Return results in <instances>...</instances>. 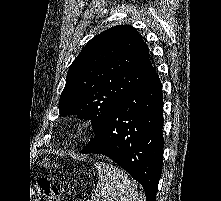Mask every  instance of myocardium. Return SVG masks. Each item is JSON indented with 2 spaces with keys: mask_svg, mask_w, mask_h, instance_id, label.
I'll list each match as a JSON object with an SVG mask.
<instances>
[{
  "mask_svg": "<svg viewBox=\"0 0 221 201\" xmlns=\"http://www.w3.org/2000/svg\"><path fill=\"white\" fill-rule=\"evenodd\" d=\"M85 129H86V126L84 124V122H78L76 125H75V131L77 133H84L85 132Z\"/></svg>",
  "mask_w": 221,
  "mask_h": 201,
  "instance_id": "1",
  "label": "myocardium"
}]
</instances>
